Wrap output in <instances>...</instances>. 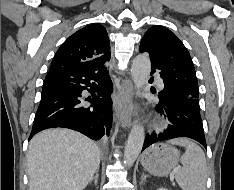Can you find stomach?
<instances>
[{
	"label": "stomach",
	"instance_id": "1",
	"mask_svg": "<svg viewBox=\"0 0 234 190\" xmlns=\"http://www.w3.org/2000/svg\"><path fill=\"white\" fill-rule=\"evenodd\" d=\"M180 152L166 143L149 147L141 157V164L146 171L155 176H166L178 164Z\"/></svg>",
	"mask_w": 234,
	"mask_h": 190
}]
</instances>
